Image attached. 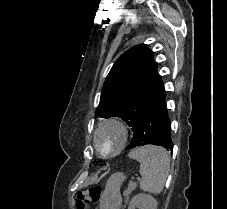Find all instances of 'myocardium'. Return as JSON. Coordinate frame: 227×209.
Listing matches in <instances>:
<instances>
[{
	"label": "myocardium",
	"mask_w": 227,
	"mask_h": 209,
	"mask_svg": "<svg viewBox=\"0 0 227 209\" xmlns=\"http://www.w3.org/2000/svg\"><path fill=\"white\" fill-rule=\"evenodd\" d=\"M107 125H113V126L117 127L118 130L120 131L121 139H120L119 145L114 150H111L107 153H102L97 147L96 136H97L98 132ZM128 138H129V131H128V127L125 124V122L118 117L110 116V117H105V118L101 119L97 123V125L95 126V128L91 134V143H92L93 149L95 150V152L98 156H100L101 158H109V157L117 155L118 153H120L122 151V149L125 147V145L128 141Z\"/></svg>",
	"instance_id": "1"
}]
</instances>
